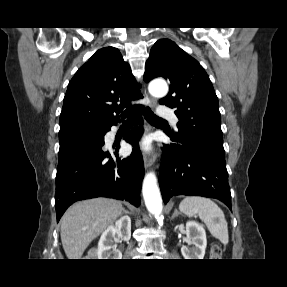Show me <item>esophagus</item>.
Returning a JSON list of instances; mask_svg holds the SVG:
<instances>
[{
	"instance_id": "1",
	"label": "esophagus",
	"mask_w": 287,
	"mask_h": 287,
	"mask_svg": "<svg viewBox=\"0 0 287 287\" xmlns=\"http://www.w3.org/2000/svg\"><path fill=\"white\" fill-rule=\"evenodd\" d=\"M156 104H157V101L154 98H150L149 106L151 108H154ZM151 131H152V128L150 126H146V132L149 133ZM143 161H144L145 168H149L152 166L154 159L151 156L145 154L143 157Z\"/></svg>"
}]
</instances>
